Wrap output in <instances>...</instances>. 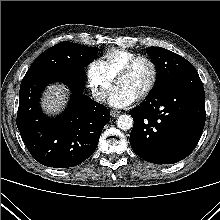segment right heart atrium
<instances>
[{
	"instance_id": "1",
	"label": "right heart atrium",
	"mask_w": 220,
	"mask_h": 220,
	"mask_svg": "<svg viewBox=\"0 0 220 220\" xmlns=\"http://www.w3.org/2000/svg\"><path fill=\"white\" fill-rule=\"evenodd\" d=\"M86 76L93 97L97 101H103L114 80L103 61L100 59L91 61Z\"/></svg>"
}]
</instances>
